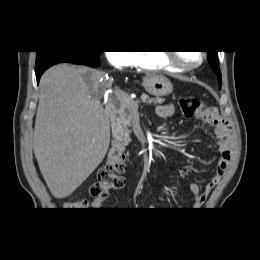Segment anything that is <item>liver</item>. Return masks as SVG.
Here are the masks:
<instances>
[{
  "mask_svg": "<svg viewBox=\"0 0 260 260\" xmlns=\"http://www.w3.org/2000/svg\"><path fill=\"white\" fill-rule=\"evenodd\" d=\"M105 76L98 69L59 64L40 79L33 150L55 198L71 195L107 153L110 122L100 103L110 86Z\"/></svg>",
  "mask_w": 260,
  "mask_h": 260,
  "instance_id": "obj_1",
  "label": "liver"
}]
</instances>
